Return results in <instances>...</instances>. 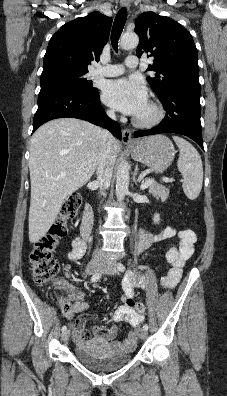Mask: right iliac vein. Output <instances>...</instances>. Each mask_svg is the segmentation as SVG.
Instances as JSON below:
<instances>
[{
  "label": "right iliac vein",
  "mask_w": 227,
  "mask_h": 396,
  "mask_svg": "<svg viewBox=\"0 0 227 396\" xmlns=\"http://www.w3.org/2000/svg\"><path fill=\"white\" fill-rule=\"evenodd\" d=\"M104 266V263L99 260H92L87 266V273L94 274L100 271ZM63 341H67L70 337V330H66L61 335Z\"/></svg>",
  "instance_id": "1"
}]
</instances>
